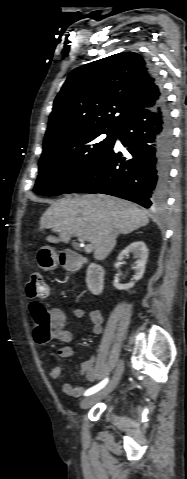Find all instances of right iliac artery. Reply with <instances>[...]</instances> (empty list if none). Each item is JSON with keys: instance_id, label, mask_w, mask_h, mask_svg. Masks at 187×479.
<instances>
[{"instance_id": "obj_1", "label": "right iliac artery", "mask_w": 187, "mask_h": 479, "mask_svg": "<svg viewBox=\"0 0 187 479\" xmlns=\"http://www.w3.org/2000/svg\"><path fill=\"white\" fill-rule=\"evenodd\" d=\"M108 383V378L104 379L102 382H100L99 384L89 388L85 393L84 395L85 396H89L91 394H94L96 392H98L99 390H101L106 384Z\"/></svg>"}]
</instances>
